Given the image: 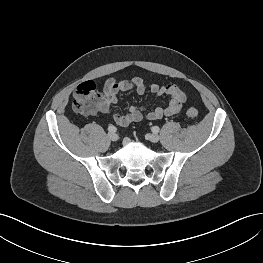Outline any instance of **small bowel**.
I'll return each instance as SVG.
<instances>
[{
    "label": "small bowel",
    "instance_id": "1",
    "mask_svg": "<svg viewBox=\"0 0 263 263\" xmlns=\"http://www.w3.org/2000/svg\"><path fill=\"white\" fill-rule=\"evenodd\" d=\"M149 90L155 96H167L169 98L168 104L149 112L146 111L145 107L131 106L125 113L114 114L112 116L114 123L120 127H126L144 118L154 121L164 116H173L181 111L187 99L185 92L175 84L160 85L151 83ZM127 91H135L138 95H143L146 92V83L141 77L123 80H117L113 77L108 78L104 83L102 96L99 98L93 114H108L111 105L119 102L120 93Z\"/></svg>",
    "mask_w": 263,
    "mask_h": 263
}]
</instances>
